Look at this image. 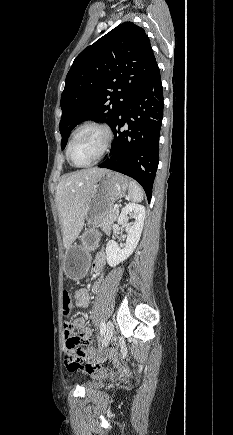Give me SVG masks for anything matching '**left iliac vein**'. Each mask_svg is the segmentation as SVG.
<instances>
[{
	"label": "left iliac vein",
	"instance_id": "4c4485c4",
	"mask_svg": "<svg viewBox=\"0 0 233 435\" xmlns=\"http://www.w3.org/2000/svg\"><path fill=\"white\" fill-rule=\"evenodd\" d=\"M113 333H114L113 323L111 321H108L107 325H106V331H105V335H104L103 344H102V347L100 348V351L104 348V346H106L110 342V340L113 337Z\"/></svg>",
	"mask_w": 233,
	"mask_h": 435
}]
</instances>
